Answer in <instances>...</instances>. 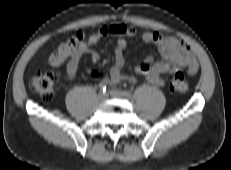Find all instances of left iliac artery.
Listing matches in <instances>:
<instances>
[{"mask_svg": "<svg viewBox=\"0 0 231 170\" xmlns=\"http://www.w3.org/2000/svg\"><path fill=\"white\" fill-rule=\"evenodd\" d=\"M122 94H123L124 97H126V98H129V97L131 96V93H130L129 91H126V90L122 91Z\"/></svg>", "mask_w": 231, "mask_h": 170, "instance_id": "left-iliac-artery-1", "label": "left iliac artery"}]
</instances>
